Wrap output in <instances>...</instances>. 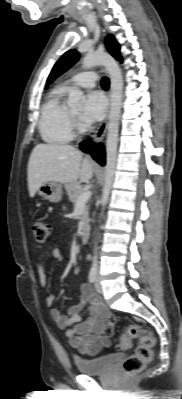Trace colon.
<instances>
[{
    "mask_svg": "<svg viewBox=\"0 0 182 399\" xmlns=\"http://www.w3.org/2000/svg\"><path fill=\"white\" fill-rule=\"evenodd\" d=\"M31 233L33 240L43 243L50 234V226L40 217H34L31 221ZM134 339L139 340V345L135 353L128 357L123 363V373L125 375H134L143 370L153 357V348L155 346L154 334L138 325H127L122 336L119 338L117 348L126 350L131 347Z\"/></svg>",
    "mask_w": 182,
    "mask_h": 399,
    "instance_id": "1",
    "label": "colon"
}]
</instances>
